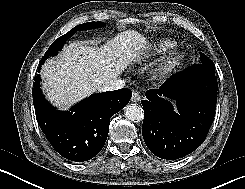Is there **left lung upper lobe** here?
<instances>
[{
    "mask_svg": "<svg viewBox=\"0 0 245 189\" xmlns=\"http://www.w3.org/2000/svg\"><path fill=\"white\" fill-rule=\"evenodd\" d=\"M200 64L208 66L210 69L215 70L214 63L204 53H200Z\"/></svg>",
    "mask_w": 245,
    "mask_h": 189,
    "instance_id": "1",
    "label": "left lung upper lobe"
}]
</instances>
